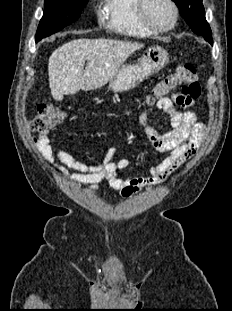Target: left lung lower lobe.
Instances as JSON below:
<instances>
[{
	"mask_svg": "<svg viewBox=\"0 0 232 311\" xmlns=\"http://www.w3.org/2000/svg\"><path fill=\"white\" fill-rule=\"evenodd\" d=\"M206 40H208L211 44H213V41H212V34L210 35H204L203 36Z\"/></svg>",
	"mask_w": 232,
	"mask_h": 311,
	"instance_id": "left-lung-lower-lobe-1",
	"label": "left lung lower lobe"
}]
</instances>
